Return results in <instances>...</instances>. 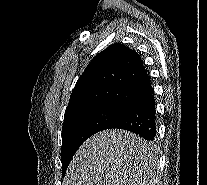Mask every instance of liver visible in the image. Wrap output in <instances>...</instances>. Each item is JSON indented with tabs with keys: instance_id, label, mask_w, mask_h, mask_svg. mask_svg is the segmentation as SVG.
Masks as SVG:
<instances>
[{
	"instance_id": "liver-1",
	"label": "liver",
	"mask_w": 207,
	"mask_h": 185,
	"mask_svg": "<svg viewBox=\"0 0 207 185\" xmlns=\"http://www.w3.org/2000/svg\"><path fill=\"white\" fill-rule=\"evenodd\" d=\"M142 137L107 129L84 141L75 153L63 185H147L155 157Z\"/></svg>"
}]
</instances>
